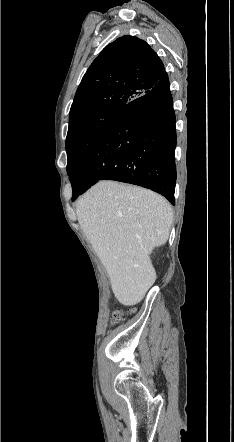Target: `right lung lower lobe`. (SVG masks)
Segmentation results:
<instances>
[{
  "instance_id": "right-lung-lower-lobe-1",
  "label": "right lung lower lobe",
  "mask_w": 234,
  "mask_h": 442,
  "mask_svg": "<svg viewBox=\"0 0 234 442\" xmlns=\"http://www.w3.org/2000/svg\"><path fill=\"white\" fill-rule=\"evenodd\" d=\"M175 113L167 73L120 108L105 133L73 169L72 201L99 180L131 183L175 204Z\"/></svg>"
}]
</instances>
